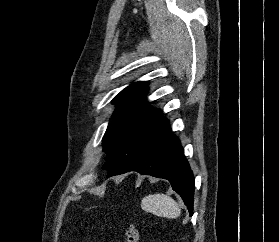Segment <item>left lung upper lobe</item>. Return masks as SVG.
<instances>
[{"label": "left lung upper lobe", "mask_w": 279, "mask_h": 242, "mask_svg": "<svg viewBox=\"0 0 279 242\" xmlns=\"http://www.w3.org/2000/svg\"><path fill=\"white\" fill-rule=\"evenodd\" d=\"M147 89V82L132 83L113 99L117 109L103 137V151L109 158L104 168L109 176L122 174L171 131L162 113L147 106Z\"/></svg>", "instance_id": "1"}]
</instances>
